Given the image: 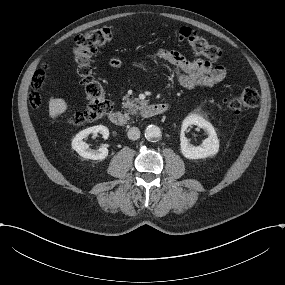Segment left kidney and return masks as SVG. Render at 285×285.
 Instances as JSON below:
<instances>
[{"instance_id": "1", "label": "left kidney", "mask_w": 285, "mask_h": 285, "mask_svg": "<svg viewBox=\"0 0 285 285\" xmlns=\"http://www.w3.org/2000/svg\"><path fill=\"white\" fill-rule=\"evenodd\" d=\"M195 124L204 129L208 137L200 146L190 144L184 133L188 125L183 123L180 133V147L182 154L188 159H201L214 156L219 150V140L213 125L205 119H198Z\"/></svg>"}]
</instances>
